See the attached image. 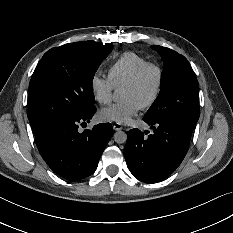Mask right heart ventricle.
<instances>
[{
	"instance_id": "right-heart-ventricle-1",
	"label": "right heart ventricle",
	"mask_w": 233,
	"mask_h": 233,
	"mask_svg": "<svg viewBox=\"0 0 233 233\" xmlns=\"http://www.w3.org/2000/svg\"><path fill=\"white\" fill-rule=\"evenodd\" d=\"M146 59L138 53L127 51L117 56L109 65L107 78L113 87H121Z\"/></svg>"
}]
</instances>
